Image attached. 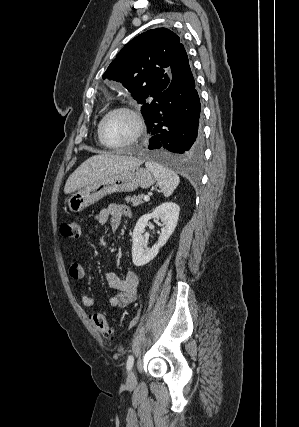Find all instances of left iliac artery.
I'll return each instance as SVG.
<instances>
[{"instance_id":"obj_1","label":"left iliac artery","mask_w":299,"mask_h":427,"mask_svg":"<svg viewBox=\"0 0 299 427\" xmlns=\"http://www.w3.org/2000/svg\"><path fill=\"white\" fill-rule=\"evenodd\" d=\"M133 363H134V358H133V356L131 355V356H129V358H128V360H127V363H126L127 371H130V370L132 369V367H133Z\"/></svg>"}]
</instances>
